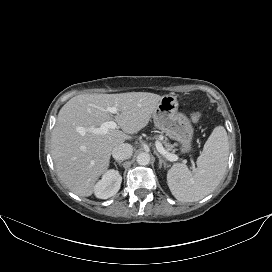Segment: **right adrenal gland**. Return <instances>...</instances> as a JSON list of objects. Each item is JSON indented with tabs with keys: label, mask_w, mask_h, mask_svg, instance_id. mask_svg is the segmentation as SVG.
Returning a JSON list of instances; mask_svg holds the SVG:
<instances>
[{
	"label": "right adrenal gland",
	"mask_w": 272,
	"mask_h": 272,
	"mask_svg": "<svg viewBox=\"0 0 272 272\" xmlns=\"http://www.w3.org/2000/svg\"><path fill=\"white\" fill-rule=\"evenodd\" d=\"M119 164H121L123 161H117Z\"/></svg>",
	"instance_id": "1"
}]
</instances>
